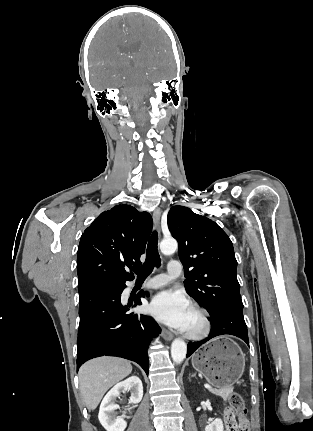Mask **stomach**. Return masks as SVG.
Returning <instances> with one entry per match:
<instances>
[{
  "label": "stomach",
  "mask_w": 313,
  "mask_h": 431,
  "mask_svg": "<svg viewBox=\"0 0 313 431\" xmlns=\"http://www.w3.org/2000/svg\"><path fill=\"white\" fill-rule=\"evenodd\" d=\"M192 366L216 389L231 387L242 376L245 357L241 348L228 337H218L192 356Z\"/></svg>",
  "instance_id": "0dacf381"
}]
</instances>
